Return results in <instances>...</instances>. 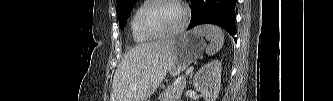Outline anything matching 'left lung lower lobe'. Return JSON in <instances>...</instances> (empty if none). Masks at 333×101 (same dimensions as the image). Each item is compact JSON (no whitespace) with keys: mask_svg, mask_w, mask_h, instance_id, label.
<instances>
[{"mask_svg":"<svg viewBox=\"0 0 333 101\" xmlns=\"http://www.w3.org/2000/svg\"><path fill=\"white\" fill-rule=\"evenodd\" d=\"M192 20L188 29L209 23L224 28L236 41L235 5L237 0H190Z\"/></svg>","mask_w":333,"mask_h":101,"instance_id":"left-lung-lower-lobe-1","label":"left lung lower lobe"}]
</instances>
